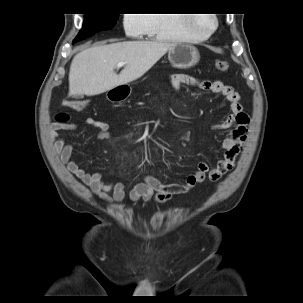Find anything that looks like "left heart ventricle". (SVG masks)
I'll return each mask as SVG.
<instances>
[{
    "instance_id": "1",
    "label": "left heart ventricle",
    "mask_w": 303,
    "mask_h": 303,
    "mask_svg": "<svg viewBox=\"0 0 303 303\" xmlns=\"http://www.w3.org/2000/svg\"><path fill=\"white\" fill-rule=\"evenodd\" d=\"M213 22L210 16H200L195 24L196 30L199 32H208L212 28Z\"/></svg>"
}]
</instances>
